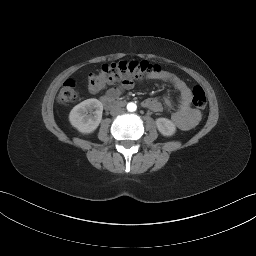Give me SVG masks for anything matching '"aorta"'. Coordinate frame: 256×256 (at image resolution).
<instances>
[{
    "label": "aorta",
    "instance_id": "1",
    "mask_svg": "<svg viewBox=\"0 0 256 256\" xmlns=\"http://www.w3.org/2000/svg\"><path fill=\"white\" fill-rule=\"evenodd\" d=\"M136 109H137V105L135 103L130 102L127 104V110L129 112H134V111H136Z\"/></svg>",
    "mask_w": 256,
    "mask_h": 256
}]
</instances>
